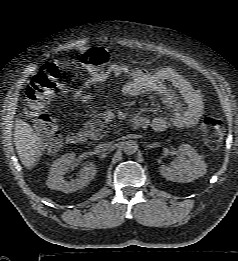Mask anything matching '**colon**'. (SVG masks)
I'll use <instances>...</instances> for the list:
<instances>
[{"label": "colon", "instance_id": "5ec220e1", "mask_svg": "<svg viewBox=\"0 0 238 261\" xmlns=\"http://www.w3.org/2000/svg\"><path fill=\"white\" fill-rule=\"evenodd\" d=\"M111 58V52L105 47L90 48L82 53L81 63L91 75H102ZM59 77V67L46 63L33 75L26 89L27 113L34 120L36 130L45 136L48 149L53 151L60 147L61 139L55 120L45 110L58 87ZM201 132L207 147L216 149L223 139L225 123L220 117L207 115Z\"/></svg>", "mask_w": 238, "mask_h": 261}]
</instances>
